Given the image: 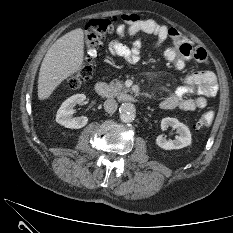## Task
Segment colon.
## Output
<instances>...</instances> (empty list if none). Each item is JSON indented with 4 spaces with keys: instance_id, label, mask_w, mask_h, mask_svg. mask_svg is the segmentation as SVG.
<instances>
[{
    "instance_id": "colon-1",
    "label": "colon",
    "mask_w": 233,
    "mask_h": 233,
    "mask_svg": "<svg viewBox=\"0 0 233 233\" xmlns=\"http://www.w3.org/2000/svg\"><path fill=\"white\" fill-rule=\"evenodd\" d=\"M114 25L115 21L109 19H93L87 24L84 37V63L80 70L68 79L69 88L77 89L92 77V64L100 54L102 39L113 30ZM154 44L155 46L158 44L157 39ZM166 56L173 66L178 69L183 68L184 60L175 50L169 49ZM213 119L214 112L206 111L197 119L194 126L198 130L205 129L211 125Z\"/></svg>"
}]
</instances>
